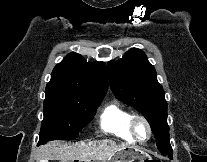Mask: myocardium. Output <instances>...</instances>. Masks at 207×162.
Returning <instances> with one entry per match:
<instances>
[{
	"label": "myocardium",
	"instance_id": "1",
	"mask_svg": "<svg viewBox=\"0 0 207 162\" xmlns=\"http://www.w3.org/2000/svg\"><path fill=\"white\" fill-rule=\"evenodd\" d=\"M139 122H142L145 125L146 129H147V136L143 140L139 139L136 135V126ZM129 132H130V135H131L132 139L135 142L143 143V142L148 141L151 138L152 129H151V125H150L149 121L144 116L134 115L132 117V119L130 120V123H129Z\"/></svg>",
	"mask_w": 207,
	"mask_h": 162
}]
</instances>
